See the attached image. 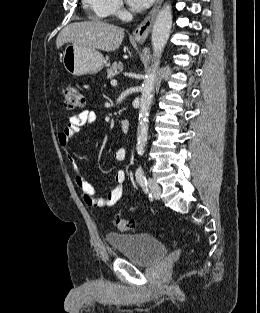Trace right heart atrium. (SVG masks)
Instances as JSON below:
<instances>
[{
    "label": "right heart atrium",
    "instance_id": "obj_1",
    "mask_svg": "<svg viewBox=\"0 0 260 313\" xmlns=\"http://www.w3.org/2000/svg\"><path fill=\"white\" fill-rule=\"evenodd\" d=\"M111 6V12L114 15H120L123 11V6L121 0H109Z\"/></svg>",
    "mask_w": 260,
    "mask_h": 313
}]
</instances>
